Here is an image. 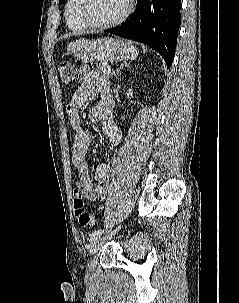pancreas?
I'll list each match as a JSON object with an SVG mask.
<instances>
[{
    "instance_id": "1",
    "label": "pancreas",
    "mask_w": 239,
    "mask_h": 303,
    "mask_svg": "<svg viewBox=\"0 0 239 303\" xmlns=\"http://www.w3.org/2000/svg\"><path fill=\"white\" fill-rule=\"evenodd\" d=\"M96 67L101 71L103 77L110 78L112 76V73L109 72V68L111 67L108 64L99 63L96 65Z\"/></svg>"
}]
</instances>
